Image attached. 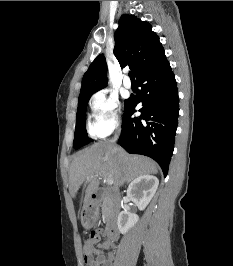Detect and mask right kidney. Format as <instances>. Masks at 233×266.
I'll return each instance as SVG.
<instances>
[{"label":"right kidney","instance_id":"1","mask_svg":"<svg viewBox=\"0 0 233 266\" xmlns=\"http://www.w3.org/2000/svg\"><path fill=\"white\" fill-rule=\"evenodd\" d=\"M159 181L153 175H142L134 179L128 189V197L135 203L139 210H144L156 193ZM139 220L138 215L127 210L122 211L117 220L120 233L126 234Z\"/></svg>","mask_w":233,"mask_h":266}]
</instances>
